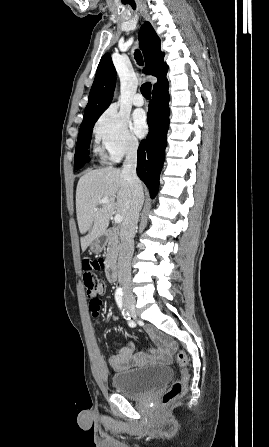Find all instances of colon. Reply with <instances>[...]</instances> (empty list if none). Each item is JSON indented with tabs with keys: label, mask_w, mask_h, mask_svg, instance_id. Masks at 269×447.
<instances>
[{
	"label": "colon",
	"mask_w": 269,
	"mask_h": 447,
	"mask_svg": "<svg viewBox=\"0 0 269 447\" xmlns=\"http://www.w3.org/2000/svg\"><path fill=\"white\" fill-rule=\"evenodd\" d=\"M105 265L104 257H85L84 258V270L85 271H102ZM83 285L85 288V293L88 298H92L90 303V310L96 312L98 310L99 303L101 301L100 295L105 291V284L103 280L97 278V276L92 272H84L83 275ZM94 318L98 317L97 313L93 314ZM171 344H168V350ZM173 348V347H172ZM181 369V376L176 379L171 387L163 394L161 403L164 406L174 403L179 397H181L185 390L186 384L189 377V360L187 355L182 350H174L170 356Z\"/></svg>",
	"instance_id": "1"
}]
</instances>
